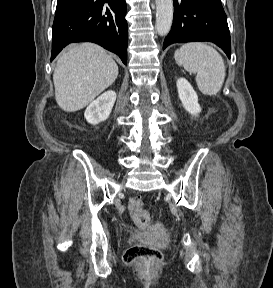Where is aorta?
I'll return each mask as SVG.
<instances>
[{"label": "aorta", "mask_w": 273, "mask_h": 288, "mask_svg": "<svg viewBox=\"0 0 273 288\" xmlns=\"http://www.w3.org/2000/svg\"><path fill=\"white\" fill-rule=\"evenodd\" d=\"M156 3V31L165 36L171 29L173 20V0H155Z\"/></svg>", "instance_id": "aorta-1"}]
</instances>
